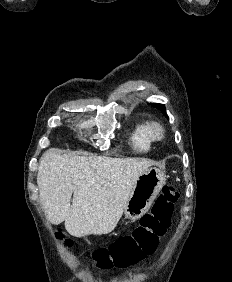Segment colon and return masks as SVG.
Instances as JSON below:
<instances>
[{
  "instance_id": "1",
  "label": "colon",
  "mask_w": 232,
  "mask_h": 282,
  "mask_svg": "<svg viewBox=\"0 0 232 282\" xmlns=\"http://www.w3.org/2000/svg\"><path fill=\"white\" fill-rule=\"evenodd\" d=\"M177 200L178 193L175 188L169 185L164 186L151 211L141 218L140 224L132 234L123 236L108 247L99 248L92 253L91 258L95 265L101 270L124 269L152 254L159 238L171 225ZM56 236L63 239L61 232H57ZM64 242L66 245L70 244L68 240Z\"/></svg>"
}]
</instances>
